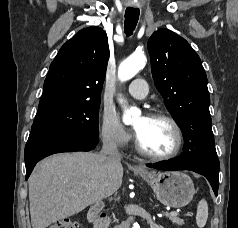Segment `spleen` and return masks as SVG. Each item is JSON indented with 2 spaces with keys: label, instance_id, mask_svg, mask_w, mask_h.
Returning a JSON list of instances; mask_svg holds the SVG:
<instances>
[{
  "label": "spleen",
  "instance_id": "spleen-1",
  "mask_svg": "<svg viewBox=\"0 0 238 228\" xmlns=\"http://www.w3.org/2000/svg\"><path fill=\"white\" fill-rule=\"evenodd\" d=\"M208 219V204L205 199L199 201L197 205L196 223L199 228H203L206 225Z\"/></svg>",
  "mask_w": 238,
  "mask_h": 228
}]
</instances>
